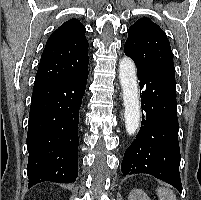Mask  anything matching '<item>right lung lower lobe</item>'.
<instances>
[{"label": "right lung lower lobe", "instance_id": "right-lung-lower-lobe-1", "mask_svg": "<svg viewBox=\"0 0 201 200\" xmlns=\"http://www.w3.org/2000/svg\"><path fill=\"white\" fill-rule=\"evenodd\" d=\"M87 77L88 65L69 79L34 88L27 133L29 188L45 181L76 180L79 109Z\"/></svg>", "mask_w": 201, "mask_h": 200}]
</instances>
